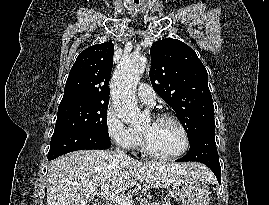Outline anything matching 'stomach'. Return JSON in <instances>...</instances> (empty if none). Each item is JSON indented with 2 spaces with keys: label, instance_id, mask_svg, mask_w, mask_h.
Returning <instances> with one entry per match:
<instances>
[{
  "label": "stomach",
  "instance_id": "1",
  "mask_svg": "<svg viewBox=\"0 0 269 205\" xmlns=\"http://www.w3.org/2000/svg\"><path fill=\"white\" fill-rule=\"evenodd\" d=\"M173 194L181 205H209L210 192L207 184L191 174L181 176L172 184Z\"/></svg>",
  "mask_w": 269,
  "mask_h": 205
}]
</instances>
